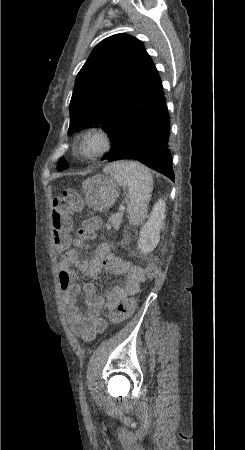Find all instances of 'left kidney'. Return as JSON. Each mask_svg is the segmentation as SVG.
<instances>
[{"instance_id": "obj_1", "label": "left kidney", "mask_w": 245, "mask_h": 450, "mask_svg": "<svg viewBox=\"0 0 245 450\" xmlns=\"http://www.w3.org/2000/svg\"><path fill=\"white\" fill-rule=\"evenodd\" d=\"M165 201L160 199L153 207L148 221L140 231L138 249L144 255L152 252L160 241V231L164 226Z\"/></svg>"}]
</instances>
